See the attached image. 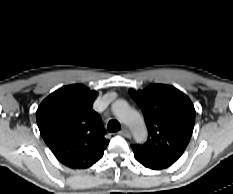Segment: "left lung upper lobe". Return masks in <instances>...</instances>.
Returning a JSON list of instances; mask_svg holds the SVG:
<instances>
[{
    "instance_id": "1",
    "label": "left lung upper lobe",
    "mask_w": 233,
    "mask_h": 194,
    "mask_svg": "<svg viewBox=\"0 0 233 194\" xmlns=\"http://www.w3.org/2000/svg\"><path fill=\"white\" fill-rule=\"evenodd\" d=\"M131 97L141 107L148 128V141L134 145L140 156L174 163L191 138L195 109L187 95L173 86L151 84L144 90L130 89Z\"/></svg>"
}]
</instances>
